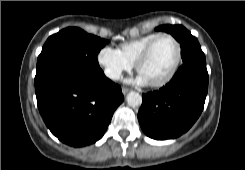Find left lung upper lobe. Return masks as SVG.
<instances>
[{"label":"left lung upper lobe","mask_w":245,"mask_h":170,"mask_svg":"<svg viewBox=\"0 0 245 170\" xmlns=\"http://www.w3.org/2000/svg\"><path fill=\"white\" fill-rule=\"evenodd\" d=\"M157 31L170 33L181 43V57L184 63L206 65L205 55L201 50L198 40L181 25H162L155 28Z\"/></svg>","instance_id":"left-lung-upper-lobe-1"}]
</instances>
